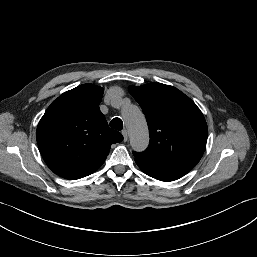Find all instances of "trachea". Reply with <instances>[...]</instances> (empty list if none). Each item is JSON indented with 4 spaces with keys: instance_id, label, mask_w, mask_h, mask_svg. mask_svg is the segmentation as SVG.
I'll return each instance as SVG.
<instances>
[{
    "instance_id": "trachea-1",
    "label": "trachea",
    "mask_w": 257,
    "mask_h": 257,
    "mask_svg": "<svg viewBox=\"0 0 257 257\" xmlns=\"http://www.w3.org/2000/svg\"><path fill=\"white\" fill-rule=\"evenodd\" d=\"M110 127L115 129V130H122L123 129V122L120 118H114L111 122H110Z\"/></svg>"
}]
</instances>
